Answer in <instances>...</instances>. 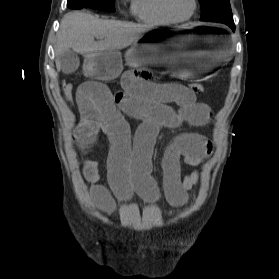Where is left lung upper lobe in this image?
I'll return each instance as SVG.
<instances>
[{"instance_id": "left-lung-upper-lobe-1", "label": "left lung upper lobe", "mask_w": 279, "mask_h": 279, "mask_svg": "<svg viewBox=\"0 0 279 279\" xmlns=\"http://www.w3.org/2000/svg\"><path fill=\"white\" fill-rule=\"evenodd\" d=\"M201 10V21L222 22L233 20L229 0H199Z\"/></svg>"}]
</instances>
